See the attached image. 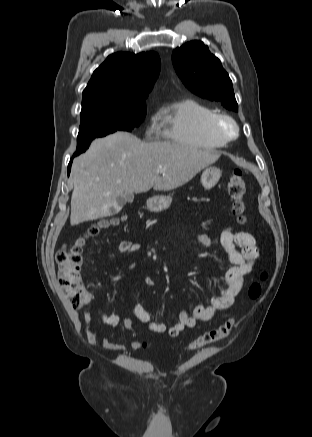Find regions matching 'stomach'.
<instances>
[{"instance_id":"1","label":"stomach","mask_w":312,"mask_h":437,"mask_svg":"<svg viewBox=\"0 0 312 437\" xmlns=\"http://www.w3.org/2000/svg\"><path fill=\"white\" fill-rule=\"evenodd\" d=\"M221 177V170L215 166H209L204 169L201 175V183L207 190L213 188ZM172 203L170 196H154L147 201V207L150 211L161 212L167 210Z\"/></svg>"}]
</instances>
